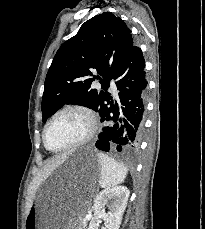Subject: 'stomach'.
Masks as SVG:
<instances>
[{
  "mask_svg": "<svg viewBox=\"0 0 205 229\" xmlns=\"http://www.w3.org/2000/svg\"><path fill=\"white\" fill-rule=\"evenodd\" d=\"M60 188L38 196L26 215L24 229H78L101 176L93 150L71 152L62 166Z\"/></svg>",
  "mask_w": 205,
  "mask_h": 229,
  "instance_id": "stomach-1",
  "label": "stomach"
}]
</instances>
